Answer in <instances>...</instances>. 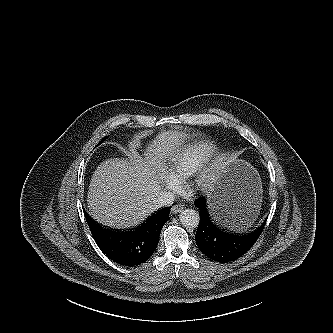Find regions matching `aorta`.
I'll use <instances>...</instances> for the list:
<instances>
[{
    "label": "aorta",
    "instance_id": "aorta-1",
    "mask_svg": "<svg viewBox=\"0 0 333 333\" xmlns=\"http://www.w3.org/2000/svg\"><path fill=\"white\" fill-rule=\"evenodd\" d=\"M179 219L183 226L188 228H195L199 224L200 216L194 209H184L180 213Z\"/></svg>",
    "mask_w": 333,
    "mask_h": 333
}]
</instances>
